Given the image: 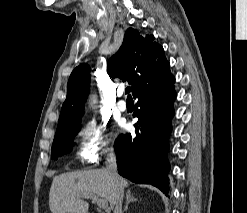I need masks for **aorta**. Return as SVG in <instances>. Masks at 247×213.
<instances>
[{"label":"aorta","mask_w":247,"mask_h":213,"mask_svg":"<svg viewBox=\"0 0 247 213\" xmlns=\"http://www.w3.org/2000/svg\"><path fill=\"white\" fill-rule=\"evenodd\" d=\"M95 102H96V97L93 96V97H92V103H95Z\"/></svg>","instance_id":"aorta-1"}]
</instances>
